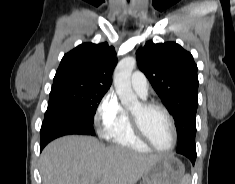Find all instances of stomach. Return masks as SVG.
I'll list each match as a JSON object with an SVG mask.
<instances>
[{
	"mask_svg": "<svg viewBox=\"0 0 235 184\" xmlns=\"http://www.w3.org/2000/svg\"><path fill=\"white\" fill-rule=\"evenodd\" d=\"M185 174L184 164L177 158H160L144 174L141 184H181Z\"/></svg>",
	"mask_w": 235,
	"mask_h": 184,
	"instance_id": "stomach-1",
	"label": "stomach"
}]
</instances>
